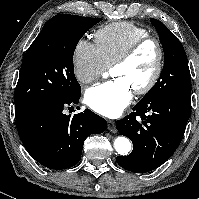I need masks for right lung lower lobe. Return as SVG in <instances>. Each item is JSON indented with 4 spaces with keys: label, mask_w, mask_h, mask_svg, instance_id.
<instances>
[{
    "label": "right lung lower lobe",
    "mask_w": 199,
    "mask_h": 199,
    "mask_svg": "<svg viewBox=\"0 0 199 199\" xmlns=\"http://www.w3.org/2000/svg\"><path fill=\"white\" fill-rule=\"evenodd\" d=\"M80 96L43 105L16 119L23 145L41 165L55 170L74 166L81 158L85 139L105 131L106 120L89 109L74 116L63 113L64 107L77 104Z\"/></svg>",
    "instance_id": "obj_1"
}]
</instances>
